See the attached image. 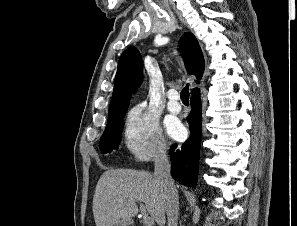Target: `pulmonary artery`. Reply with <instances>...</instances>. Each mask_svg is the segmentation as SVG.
<instances>
[{"mask_svg": "<svg viewBox=\"0 0 297 226\" xmlns=\"http://www.w3.org/2000/svg\"><path fill=\"white\" fill-rule=\"evenodd\" d=\"M179 95L176 90L172 89L168 92L167 108L171 113H179L181 111V104L178 101Z\"/></svg>", "mask_w": 297, "mask_h": 226, "instance_id": "pulmonary-artery-1", "label": "pulmonary artery"}]
</instances>
